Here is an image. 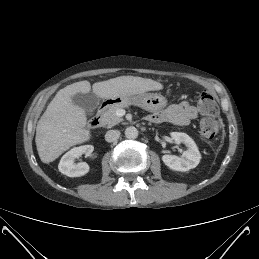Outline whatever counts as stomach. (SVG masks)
<instances>
[{
    "label": "stomach",
    "mask_w": 259,
    "mask_h": 259,
    "mask_svg": "<svg viewBox=\"0 0 259 259\" xmlns=\"http://www.w3.org/2000/svg\"><path fill=\"white\" fill-rule=\"evenodd\" d=\"M104 103L109 107L116 105H137L147 111L155 112L163 109L167 105V100L159 93L144 92L135 95H120L106 98Z\"/></svg>",
    "instance_id": "0dacf381"
}]
</instances>
